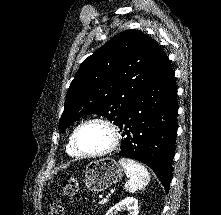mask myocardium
Returning <instances> with one entry per match:
<instances>
[{
    "mask_svg": "<svg viewBox=\"0 0 221 215\" xmlns=\"http://www.w3.org/2000/svg\"><path fill=\"white\" fill-rule=\"evenodd\" d=\"M92 123H100L104 125L110 132L111 142L106 149L100 152L86 153V152H83L79 148L78 135L85 126L92 124ZM119 143H120V131H119L118 126L112 120L105 118V117H93V118H89L83 121L76 127L74 134H73V146H74L76 153L79 156L86 157V158H96V157H102V156L108 155L117 148Z\"/></svg>",
    "mask_w": 221,
    "mask_h": 215,
    "instance_id": "myocardium-1",
    "label": "myocardium"
}]
</instances>
